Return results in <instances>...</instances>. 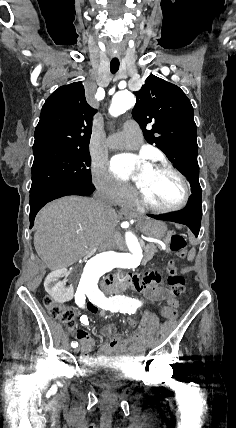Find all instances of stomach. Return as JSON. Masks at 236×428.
Returning <instances> with one entry per match:
<instances>
[{
	"instance_id": "stomach-1",
	"label": "stomach",
	"mask_w": 236,
	"mask_h": 428,
	"mask_svg": "<svg viewBox=\"0 0 236 428\" xmlns=\"http://www.w3.org/2000/svg\"><path fill=\"white\" fill-rule=\"evenodd\" d=\"M166 230L167 228L163 222H151V224H146V226H144L146 236H149V238H155V240H161V238H164Z\"/></svg>"
}]
</instances>
